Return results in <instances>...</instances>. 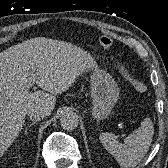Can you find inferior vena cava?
<instances>
[{"instance_id":"obj_1","label":"inferior vena cava","mask_w":168,"mask_h":168,"mask_svg":"<svg viewBox=\"0 0 168 168\" xmlns=\"http://www.w3.org/2000/svg\"><path fill=\"white\" fill-rule=\"evenodd\" d=\"M27 115L29 116L30 120L34 122L40 121L46 116L45 112L39 109H31L28 111Z\"/></svg>"}]
</instances>
